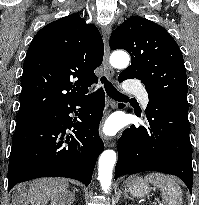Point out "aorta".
<instances>
[{
	"instance_id": "obj_1",
	"label": "aorta",
	"mask_w": 199,
	"mask_h": 205,
	"mask_svg": "<svg viewBox=\"0 0 199 205\" xmlns=\"http://www.w3.org/2000/svg\"><path fill=\"white\" fill-rule=\"evenodd\" d=\"M130 57L124 51H115L110 57V63L115 68H126L129 64ZM116 152L113 150H105L98 164V179L102 190L107 193L111 187L113 167L116 162Z\"/></svg>"
}]
</instances>
